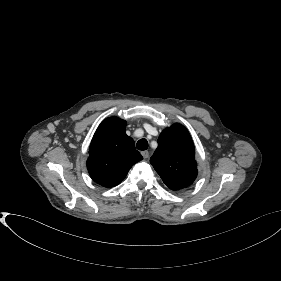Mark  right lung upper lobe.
<instances>
[{"instance_id":"cb5924a9","label":"right lung upper lobe","mask_w":281,"mask_h":281,"mask_svg":"<svg viewBox=\"0 0 281 281\" xmlns=\"http://www.w3.org/2000/svg\"><path fill=\"white\" fill-rule=\"evenodd\" d=\"M125 130L124 120L107 118L99 125L91 141L87 168L91 178L104 187L118 185L130 168L143 159Z\"/></svg>"}]
</instances>
